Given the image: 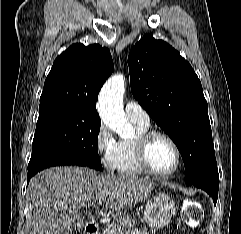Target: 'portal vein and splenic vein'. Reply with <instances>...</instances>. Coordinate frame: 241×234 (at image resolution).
<instances>
[{"label":"portal vein and splenic vein","instance_id":"obj_1","mask_svg":"<svg viewBox=\"0 0 241 234\" xmlns=\"http://www.w3.org/2000/svg\"><path fill=\"white\" fill-rule=\"evenodd\" d=\"M104 202L103 199L99 200L98 204L101 205Z\"/></svg>","mask_w":241,"mask_h":234}]
</instances>
